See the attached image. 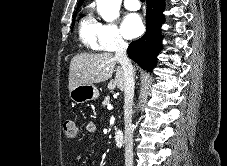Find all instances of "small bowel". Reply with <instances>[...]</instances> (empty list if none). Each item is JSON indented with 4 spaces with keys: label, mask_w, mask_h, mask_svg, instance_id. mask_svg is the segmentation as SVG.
Segmentation results:
<instances>
[{
    "label": "small bowel",
    "mask_w": 227,
    "mask_h": 166,
    "mask_svg": "<svg viewBox=\"0 0 227 166\" xmlns=\"http://www.w3.org/2000/svg\"><path fill=\"white\" fill-rule=\"evenodd\" d=\"M96 130H97V128H96V125H95L94 123H88V124H87V126H86V131H87L88 133L93 134V133L96 132ZM83 158H84V155L82 154V155H79V156L77 157V160L81 161Z\"/></svg>",
    "instance_id": "small-bowel-1"
}]
</instances>
